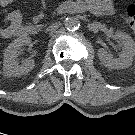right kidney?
Masks as SVG:
<instances>
[{
	"label": "right kidney",
	"instance_id": "right-kidney-1",
	"mask_svg": "<svg viewBox=\"0 0 135 135\" xmlns=\"http://www.w3.org/2000/svg\"><path fill=\"white\" fill-rule=\"evenodd\" d=\"M31 43L30 37L22 36L13 40L4 51L3 70L9 77H18L30 72L34 66L33 59H26L21 64L16 62L18 51L23 46H28Z\"/></svg>",
	"mask_w": 135,
	"mask_h": 135
}]
</instances>
